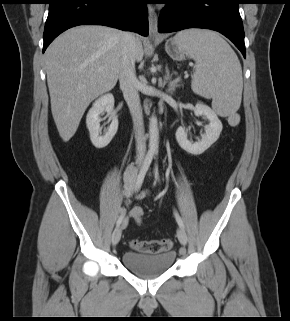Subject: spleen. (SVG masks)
Listing matches in <instances>:
<instances>
[{
  "label": "spleen",
  "mask_w": 290,
  "mask_h": 321,
  "mask_svg": "<svg viewBox=\"0 0 290 321\" xmlns=\"http://www.w3.org/2000/svg\"><path fill=\"white\" fill-rule=\"evenodd\" d=\"M174 39L196 62L193 92L211 98L212 108L220 116L235 113L241 104L243 78L230 45L217 33L201 29L180 31Z\"/></svg>",
  "instance_id": "spleen-1"
}]
</instances>
